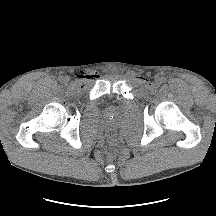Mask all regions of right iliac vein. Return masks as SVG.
Wrapping results in <instances>:
<instances>
[{
  "label": "right iliac vein",
  "mask_w": 216,
  "mask_h": 216,
  "mask_svg": "<svg viewBox=\"0 0 216 216\" xmlns=\"http://www.w3.org/2000/svg\"><path fill=\"white\" fill-rule=\"evenodd\" d=\"M65 82H67L68 80H69V78L68 77H64V79H63Z\"/></svg>",
  "instance_id": "63e3f726"
}]
</instances>
